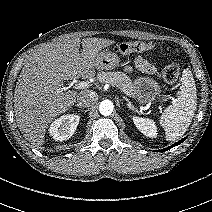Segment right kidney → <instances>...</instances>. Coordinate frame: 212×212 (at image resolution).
<instances>
[{
  "mask_svg": "<svg viewBox=\"0 0 212 212\" xmlns=\"http://www.w3.org/2000/svg\"><path fill=\"white\" fill-rule=\"evenodd\" d=\"M79 120L78 115H63L50 125L49 133L56 141L68 140L74 134Z\"/></svg>",
  "mask_w": 212,
  "mask_h": 212,
  "instance_id": "1",
  "label": "right kidney"
}]
</instances>
